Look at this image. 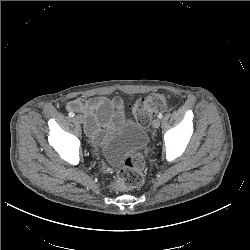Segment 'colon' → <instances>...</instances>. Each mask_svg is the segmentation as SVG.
I'll list each match as a JSON object with an SVG mask.
<instances>
[{
	"label": "colon",
	"instance_id": "obj_1",
	"mask_svg": "<svg viewBox=\"0 0 250 250\" xmlns=\"http://www.w3.org/2000/svg\"><path fill=\"white\" fill-rule=\"evenodd\" d=\"M169 102L168 94L153 93L137 100L132 106V113L141 126L147 127L157 112L167 109ZM143 180L144 159L140 153H135L125 158L122 167L111 182V188L116 191L137 188Z\"/></svg>",
	"mask_w": 250,
	"mask_h": 250
}]
</instances>
